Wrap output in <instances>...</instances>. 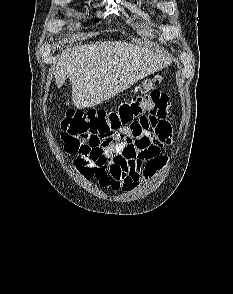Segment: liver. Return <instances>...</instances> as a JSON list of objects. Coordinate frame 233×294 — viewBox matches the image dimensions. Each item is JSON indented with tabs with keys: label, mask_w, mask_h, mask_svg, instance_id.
<instances>
[{
	"label": "liver",
	"mask_w": 233,
	"mask_h": 294,
	"mask_svg": "<svg viewBox=\"0 0 233 294\" xmlns=\"http://www.w3.org/2000/svg\"><path fill=\"white\" fill-rule=\"evenodd\" d=\"M170 61L153 51L122 41H100L64 50L55 67V82L69 78L76 108L100 105Z\"/></svg>",
	"instance_id": "1"
}]
</instances>
